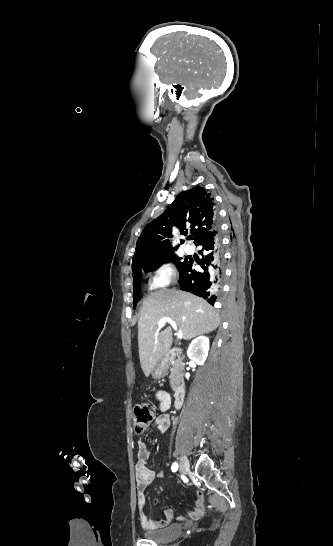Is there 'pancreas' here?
Segmentation results:
<instances>
[{
  "label": "pancreas",
  "mask_w": 333,
  "mask_h": 546,
  "mask_svg": "<svg viewBox=\"0 0 333 546\" xmlns=\"http://www.w3.org/2000/svg\"><path fill=\"white\" fill-rule=\"evenodd\" d=\"M173 370L169 376L170 384L173 390L177 388L182 380L183 363L180 358L176 359L172 364Z\"/></svg>",
  "instance_id": "pancreas-1"
}]
</instances>
